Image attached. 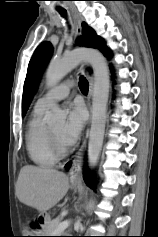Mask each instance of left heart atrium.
<instances>
[{"mask_svg": "<svg viewBox=\"0 0 158 237\" xmlns=\"http://www.w3.org/2000/svg\"><path fill=\"white\" fill-rule=\"evenodd\" d=\"M85 123L84 108L80 103L69 106L67 121L61 131V141L65 146L73 145L80 137Z\"/></svg>", "mask_w": 158, "mask_h": 237, "instance_id": "39dd6f15", "label": "left heart atrium"}]
</instances>
